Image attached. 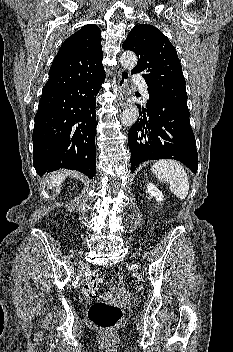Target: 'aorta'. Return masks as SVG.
<instances>
[{
  "label": "aorta",
  "instance_id": "1",
  "mask_svg": "<svg viewBox=\"0 0 233 352\" xmlns=\"http://www.w3.org/2000/svg\"><path fill=\"white\" fill-rule=\"evenodd\" d=\"M120 63L124 69L132 70L137 64V56L133 52H124L120 57ZM138 116V109L132 106L123 111L120 119L124 126H132Z\"/></svg>",
  "mask_w": 233,
  "mask_h": 352
}]
</instances>
